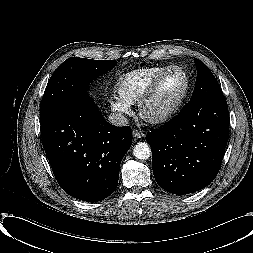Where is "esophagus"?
Instances as JSON below:
<instances>
[{
  "label": "esophagus",
  "mask_w": 253,
  "mask_h": 253,
  "mask_svg": "<svg viewBox=\"0 0 253 253\" xmlns=\"http://www.w3.org/2000/svg\"><path fill=\"white\" fill-rule=\"evenodd\" d=\"M132 135L135 140L142 139L145 136L144 132L138 129H134Z\"/></svg>",
  "instance_id": "34e87169"
}]
</instances>
